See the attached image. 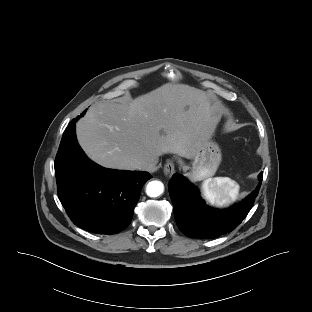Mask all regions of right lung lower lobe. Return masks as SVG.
I'll return each instance as SVG.
<instances>
[{"label":"right lung lower lobe","mask_w":312,"mask_h":312,"mask_svg":"<svg viewBox=\"0 0 312 312\" xmlns=\"http://www.w3.org/2000/svg\"><path fill=\"white\" fill-rule=\"evenodd\" d=\"M59 199L72 222L87 231L115 234L131 222L145 182L143 171L106 169L88 159L70 123L55 159Z\"/></svg>","instance_id":"98d812e1"}]
</instances>
